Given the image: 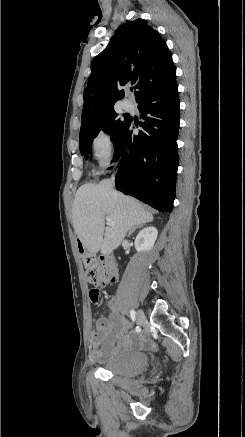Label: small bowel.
<instances>
[{"instance_id": "small-bowel-1", "label": "small bowel", "mask_w": 245, "mask_h": 437, "mask_svg": "<svg viewBox=\"0 0 245 437\" xmlns=\"http://www.w3.org/2000/svg\"><path fill=\"white\" fill-rule=\"evenodd\" d=\"M108 306L112 310L110 318L99 319L91 334V356L99 361L113 358L122 350L140 347L146 343L144 337L133 333L116 347L115 341L123 335L127 321L123 320L117 313V303L114 299L108 302Z\"/></svg>"}]
</instances>
